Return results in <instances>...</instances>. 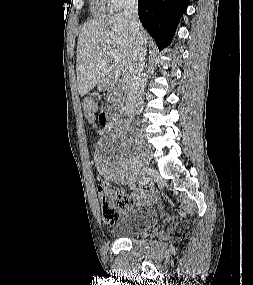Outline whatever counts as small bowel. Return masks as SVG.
Segmentation results:
<instances>
[{"mask_svg": "<svg viewBox=\"0 0 253 285\" xmlns=\"http://www.w3.org/2000/svg\"><path fill=\"white\" fill-rule=\"evenodd\" d=\"M108 109H98L96 113L97 122L99 126H108ZM132 196L137 206H146L155 204L158 201L157 194L151 189H143L132 191Z\"/></svg>", "mask_w": 253, "mask_h": 285, "instance_id": "small-bowel-1", "label": "small bowel"}]
</instances>
